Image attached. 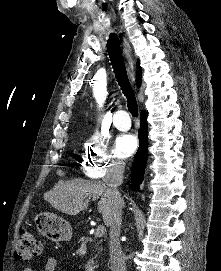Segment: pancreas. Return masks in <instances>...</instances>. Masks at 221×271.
<instances>
[{
  "instance_id": "cf45deb5",
  "label": "pancreas",
  "mask_w": 221,
  "mask_h": 271,
  "mask_svg": "<svg viewBox=\"0 0 221 271\" xmlns=\"http://www.w3.org/2000/svg\"><path fill=\"white\" fill-rule=\"evenodd\" d=\"M78 242H81L83 245L88 242V237H78ZM96 249H99L98 253H101L102 249L101 247H96ZM98 253H96L95 257H90V259H88L87 263H85V269L86 271H92L93 267L92 265H94L95 263V259L98 255Z\"/></svg>"
}]
</instances>
